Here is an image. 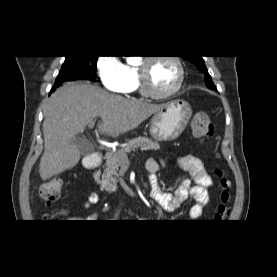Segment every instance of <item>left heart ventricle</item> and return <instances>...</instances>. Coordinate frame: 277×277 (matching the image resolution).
Returning a JSON list of instances; mask_svg holds the SVG:
<instances>
[{
	"mask_svg": "<svg viewBox=\"0 0 277 277\" xmlns=\"http://www.w3.org/2000/svg\"><path fill=\"white\" fill-rule=\"evenodd\" d=\"M177 78V68L171 61L157 60L148 67V84L156 93L169 91L175 85Z\"/></svg>",
	"mask_w": 277,
	"mask_h": 277,
	"instance_id": "1",
	"label": "left heart ventricle"
}]
</instances>
